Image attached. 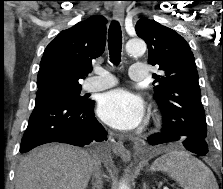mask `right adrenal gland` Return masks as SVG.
I'll list each match as a JSON object with an SVG mask.
<instances>
[{"instance_id": "right-adrenal-gland-1", "label": "right adrenal gland", "mask_w": 223, "mask_h": 189, "mask_svg": "<svg viewBox=\"0 0 223 189\" xmlns=\"http://www.w3.org/2000/svg\"><path fill=\"white\" fill-rule=\"evenodd\" d=\"M92 189H102V182L100 179H96L95 182H93Z\"/></svg>"}]
</instances>
